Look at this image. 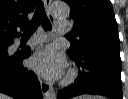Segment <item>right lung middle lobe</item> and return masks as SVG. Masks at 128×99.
Here are the masks:
<instances>
[{
	"instance_id": "dd1d6c3e",
	"label": "right lung middle lobe",
	"mask_w": 128,
	"mask_h": 99,
	"mask_svg": "<svg viewBox=\"0 0 128 99\" xmlns=\"http://www.w3.org/2000/svg\"><path fill=\"white\" fill-rule=\"evenodd\" d=\"M5 49H6V43L0 42V51L5 50Z\"/></svg>"
}]
</instances>
